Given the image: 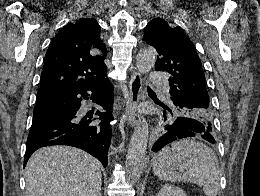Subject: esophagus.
Returning <instances> with one entry per match:
<instances>
[{"label":"esophagus","instance_id":"esophagus-1","mask_svg":"<svg viewBox=\"0 0 260 196\" xmlns=\"http://www.w3.org/2000/svg\"><path fill=\"white\" fill-rule=\"evenodd\" d=\"M142 79L140 73L135 71L130 78L129 82V91H130V99L126 104V114L128 119V124L131 126H135L141 119L140 112L138 109V104L142 92Z\"/></svg>","mask_w":260,"mask_h":196}]
</instances>
